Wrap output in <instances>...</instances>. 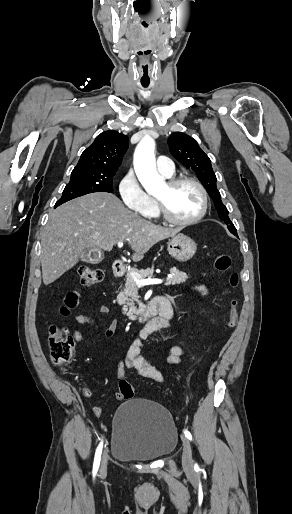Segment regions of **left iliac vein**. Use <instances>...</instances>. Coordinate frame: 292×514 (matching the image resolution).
<instances>
[{
	"instance_id": "4c4485c4",
	"label": "left iliac vein",
	"mask_w": 292,
	"mask_h": 514,
	"mask_svg": "<svg viewBox=\"0 0 292 514\" xmlns=\"http://www.w3.org/2000/svg\"><path fill=\"white\" fill-rule=\"evenodd\" d=\"M181 439L183 445L182 465L185 470H191L193 467L191 444L186 436H181Z\"/></svg>"
}]
</instances>
